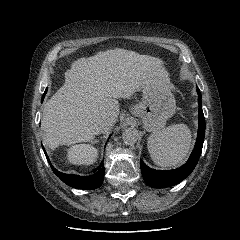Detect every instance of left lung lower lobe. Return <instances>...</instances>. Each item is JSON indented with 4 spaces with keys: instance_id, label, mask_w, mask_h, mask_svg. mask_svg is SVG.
Returning a JSON list of instances; mask_svg holds the SVG:
<instances>
[{
    "instance_id": "1",
    "label": "left lung lower lobe",
    "mask_w": 240,
    "mask_h": 240,
    "mask_svg": "<svg viewBox=\"0 0 240 240\" xmlns=\"http://www.w3.org/2000/svg\"><path fill=\"white\" fill-rule=\"evenodd\" d=\"M199 102V126L197 140L194 150L188 161L178 169L175 170H155L148 167L141 162V171L145 182L154 188H166L180 183L194 170L198 163L202 152L204 137H205V118L202 111V101L200 90L197 89Z\"/></svg>"
}]
</instances>
